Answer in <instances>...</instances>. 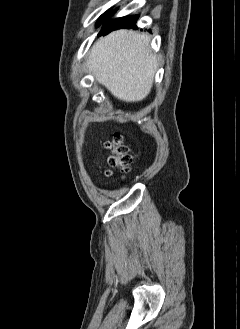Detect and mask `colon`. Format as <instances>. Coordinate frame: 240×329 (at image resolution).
<instances>
[{
  "instance_id": "obj_1",
  "label": "colon",
  "mask_w": 240,
  "mask_h": 329,
  "mask_svg": "<svg viewBox=\"0 0 240 329\" xmlns=\"http://www.w3.org/2000/svg\"><path fill=\"white\" fill-rule=\"evenodd\" d=\"M107 148L111 152L109 165L112 171L128 172L132 163V157L129 155L128 147L123 143L121 135H114L107 143Z\"/></svg>"
}]
</instances>
